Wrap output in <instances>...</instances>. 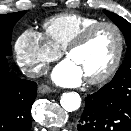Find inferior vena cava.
<instances>
[{"mask_svg":"<svg viewBox=\"0 0 131 131\" xmlns=\"http://www.w3.org/2000/svg\"><path fill=\"white\" fill-rule=\"evenodd\" d=\"M23 73L28 77L35 78V77H38L41 74H44L45 69H43L39 66L29 67V68H24Z\"/></svg>","mask_w":131,"mask_h":131,"instance_id":"obj_1","label":"inferior vena cava"}]
</instances>
